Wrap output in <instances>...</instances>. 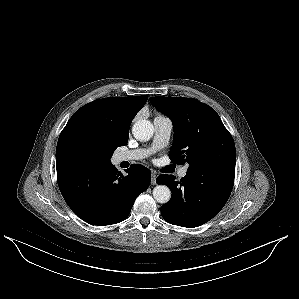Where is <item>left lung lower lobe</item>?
<instances>
[{"mask_svg": "<svg viewBox=\"0 0 299 299\" xmlns=\"http://www.w3.org/2000/svg\"><path fill=\"white\" fill-rule=\"evenodd\" d=\"M235 165L205 164L187 171L180 182L160 175L156 182L171 189L170 201L161 207L163 218L173 225L198 227L211 220L226 204L234 184Z\"/></svg>", "mask_w": 299, "mask_h": 299, "instance_id": "left-lung-lower-lobe-1", "label": "left lung lower lobe"}]
</instances>
